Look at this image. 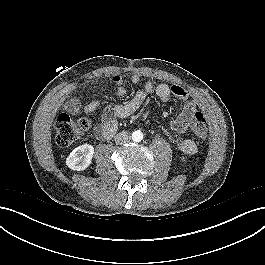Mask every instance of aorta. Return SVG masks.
<instances>
[{
    "label": "aorta",
    "instance_id": "1",
    "mask_svg": "<svg viewBox=\"0 0 265 265\" xmlns=\"http://www.w3.org/2000/svg\"><path fill=\"white\" fill-rule=\"evenodd\" d=\"M143 139V134L141 131L137 130L132 133V140L134 142H140Z\"/></svg>",
    "mask_w": 265,
    "mask_h": 265
}]
</instances>
